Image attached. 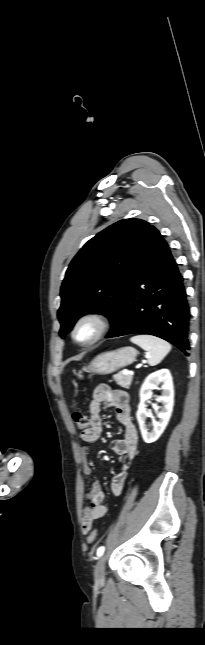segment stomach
I'll use <instances>...</instances> for the list:
<instances>
[{"instance_id":"obj_1","label":"stomach","mask_w":205,"mask_h":645,"mask_svg":"<svg viewBox=\"0 0 205 645\" xmlns=\"http://www.w3.org/2000/svg\"><path fill=\"white\" fill-rule=\"evenodd\" d=\"M137 351L132 347H122L117 350L104 352L96 356L85 368L86 372L98 375H107L132 364L135 361ZM79 378H83L81 372Z\"/></svg>"}]
</instances>
